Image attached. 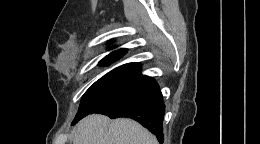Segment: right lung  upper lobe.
I'll return each mask as SVG.
<instances>
[{
	"mask_svg": "<svg viewBox=\"0 0 260 144\" xmlns=\"http://www.w3.org/2000/svg\"><path fill=\"white\" fill-rule=\"evenodd\" d=\"M126 51H127L126 49H119L117 51L110 53L104 59H102L100 61L99 65L106 66V65L112 63L113 61L118 60L121 56H123L125 54ZM140 68H141V66L138 65L137 63H128V64H124L122 66H119V67L115 68L114 70L138 72V71H140Z\"/></svg>",
	"mask_w": 260,
	"mask_h": 144,
	"instance_id": "1",
	"label": "right lung upper lobe"
}]
</instances>
